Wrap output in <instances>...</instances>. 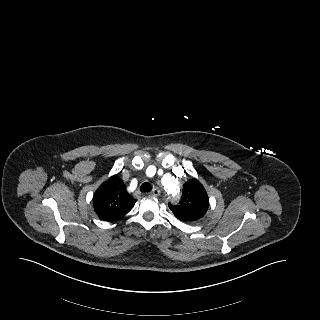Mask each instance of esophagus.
Segmentation results:
<instances>
[{"label": "esophagus", "instance_id": "esophagus-1", "mask_svg": "<svg viewBox=\"0 0 320 320\" xmlns=\"http://www.w3.org/2000/svg\"><path fill=\"white\" fill-rule=\"evenodd\" d=\"M150 196H154V197H157L160 195V190L158 188H153L150 193H149Z\"/></svg>", "mask_w": 320, "mask_h": 320}]
</instances>
